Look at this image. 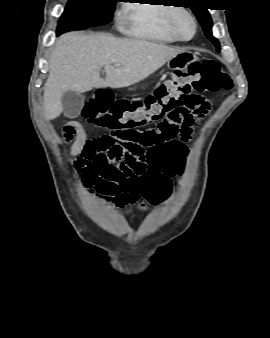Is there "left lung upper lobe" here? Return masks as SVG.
Listing matches in <instances>:
<instances>
[{
	"instance_id": "obj_1",
	"label": "left lung upper lobe",
	"mask_w": 270,
	"mask_h": 338,
	"mask_svg": "<svg viewBox=\"0 0 270 338\" xmlns=\"http://www.w3.org/2000/svg\"><path fill=\"white\" fill-rule=\"evenodd\" d=\"M195 2L192 7V11L196 15L198 21L202 25V28L204 30L205 35L208 37V39L216 46L217 50H220V43L219 41L212 36L211 28L213 26L211 17L207 9L204 7L206 5L207 1L204 0H195Z\"/></svg>"
}]
</instances>
